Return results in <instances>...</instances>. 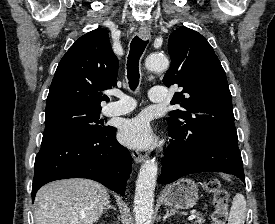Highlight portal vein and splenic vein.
I'll use <instances>...</instances> for the list:
<instances>
[{"instance_id": "18ae733b", "label": "portal vein and splenic vein", "mask_w": 275, "mask_h": 224, "mask_svg": "<svg viewBox=\"0 0 275 224\" xmlns=\"http://www.w3.org/2000/svg\"><path fill=\"white\" fill-rule=\"evenodd\" d=\"M196 218V214H192V215H190L189 217H188V220H193V219H195Z\"/></svg>"}]
</instances>
